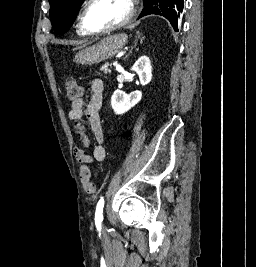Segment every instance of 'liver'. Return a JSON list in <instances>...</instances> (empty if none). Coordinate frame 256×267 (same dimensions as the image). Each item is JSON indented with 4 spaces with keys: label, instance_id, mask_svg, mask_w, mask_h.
<instances>
[{
    "label": "liver",
    "instance_id": "6515ba94",
    "mask_svg": "<svg viewBox=\"0 0 256 267\" xmlns=\"http://www.w3.org/2000/svg\"><path fill=\"white\" fill-rule=\"evenodd\" d=\"M81 48H84V46H80V48H74V50H81Z\"/></svg>",
    "mask_w": 256,
    "mask_h": 267
}]
</instances>
